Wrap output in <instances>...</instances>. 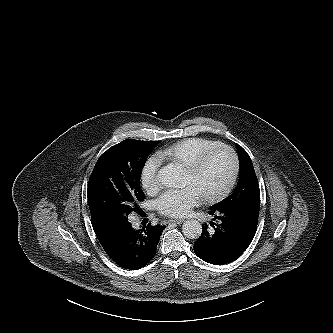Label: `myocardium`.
Here are the masks:
<instances>
[{"label":"myocardium","mask_w":333,"mask_h":333,"mask_svg":"<svg viewBox=\"0 0 333 333\" xmlns=\"http://www.w3.org/2000/svg\"><path fill=\"white\" fill-rule=\"evenodd\" d=\"M221 149L228 150L232 154L233 160H234L233 171H232L230 178L226 182V184L220 190H218L217 192H215L211 195L204 197V200L206 203H214V202L222 200L234 188V186L237 182L239 173H240V158H239L237 151L232 146L220 142V143L213 145L210 148L202 151L189 164L184 166V169L187 172H189L191 174H195L201 170V168L204 166V164L206 163L208 158L213 153H215L216 151L221 150Z\"/></svg>","instance_id":"f54148a6"}]
</instances>
